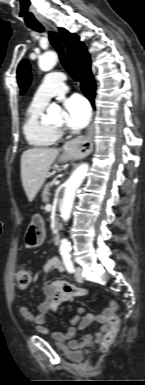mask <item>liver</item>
<instances>
[{
    "mask_svg": "<svg viewBox=\"0 0 145 385\" xmlns=\"http://www.w3.org/2000/svg\"><path fill=\"white\" fill-rule=\"evenodd\" d=\"M59 154L56 148H31L21 156L22 185L31 202L43 186L51 165Z\"/></svg>",
    "mask_w": 145,
    "mask_h": 385,
    "instance_id": "liver-1",
    "label": "liver"
}]
</instances>
